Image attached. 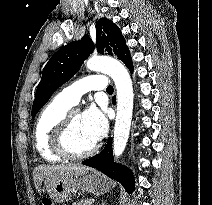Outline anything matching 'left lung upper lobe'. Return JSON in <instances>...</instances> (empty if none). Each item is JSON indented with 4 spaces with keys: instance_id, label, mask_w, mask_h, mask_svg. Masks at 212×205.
<instances>
[{
    "instance_id": "5c2ea615",
    "label": "left lung upper lobe",
    "mask_w": 212,
    "mask_h": 205,
    "mask_svg": "<svg viewBox=\"0 0 212 205\" xmlns=\"http://www.w3.org/2000/svg\"><path fill=\"white\" fill-rule=\"evenodd\" d=\"M96 42L100 54L115 55L122 62L130 57L120 29L106 18H101L96 23ZM93 50L92 40L88 35H84L81 40L63 46L50 58L42 71L41 81L36 90L32 118L56 89L73 77Z\"/></svg>"
}]
</instances>
